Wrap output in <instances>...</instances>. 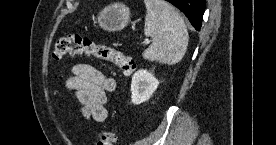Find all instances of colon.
<instances>
[{"label": "colon", "mask_w": 276, "mask_h": 145, "mask_svg": "<svg viewBox=\"0 0 276 145\" xmlns=\"http://www.w3.org/2000/svg\"><path fill=\"white\" fill-rule=\"evenodd\" d=\"M87 55L99 61L115 65L121 73L131 75L136 68L134 60L125 55L121 50L105 44L96 43L88 36L79 33L60 37L54 46L53 57L60 59L67 55ZM116 135L111 131H102L97 145H115Z\"/></svg>", "instance_id": "5ec220e1"}]
</instances>
